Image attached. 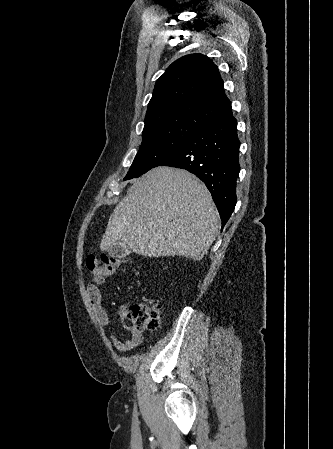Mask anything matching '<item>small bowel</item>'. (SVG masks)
Returning <instances> with one entry per match:
<instances>
[{
	"instance_id": "c3829d8e",
	"label": "small bowel",
	"mask_w": 333,
	"mask_h": 449,
	"mask_svg": "<svg viewBox=\"0 0 333 449\" xmlns=\"http://www.w3.org/2000/svg\"><path fill=\"white\" fill-rule=\"evenodd\" d=\"M107 275L94 274L87 285V294L89 301L92 305L97 322L102 327H107L110 324V317L108 312L102 306V294L100 286L104 283ZM126 306H121L118 309V314L123 316L125 314ZM127 330L130 333V337L126 340H122L116 335H112V341L114 347L119 351H129L138 347L143 341V334L141 331L135 329L132 326H127Z\"/></svg>"
}]
</instances>
